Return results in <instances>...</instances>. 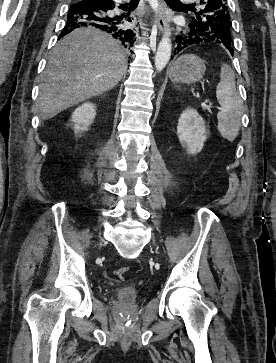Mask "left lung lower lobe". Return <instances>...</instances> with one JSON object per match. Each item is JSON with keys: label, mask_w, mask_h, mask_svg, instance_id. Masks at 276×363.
Instances as JSON below:
<instances>
[{"label": "left lung lower lobe", "mask_w": 276, "mask_h": 363, "mask_svg": "<svg viewBox=\"0 0 276 363\" xmlns=\"http://www.w3.org/2000/svg\"><path fill=\"white\" fill-rule=\"evenodd\" d=\"M190 31L181 37H177V48L175 50L178 53L181 50L188 48L191 45L203 44L214 40V36L208 31H203L204 28L200 26H193L189 24ZM233 54V50H229Z\"/></svg>", "instance_id": "1"}]
</instances>
